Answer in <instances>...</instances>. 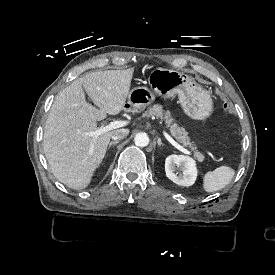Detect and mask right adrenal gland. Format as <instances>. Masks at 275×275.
<instances>
[{
	"label": "right adrenal gland",
	"mask_w": 275,
	"mask_h": 275,
	"mask_svg": "<svg viewBox=\"0 0 275 275\" xmlns=\"http://www.w3.org/2000/svg\"><path fill=\"white\" fill-rule=\"evenodd\" d=\"M118 143H119V140L111 141V142L109 143L108 150L110 149V147H111L112 145H116V144H118Z\"/></svg>",
	"instance_id": "1"
}]
</instances>
